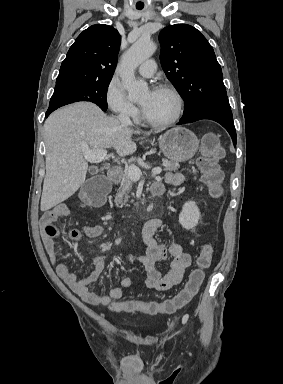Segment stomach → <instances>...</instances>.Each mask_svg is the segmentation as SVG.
Here are the masks:
<instances>
[{
  "instance_id": "0dacf381",
  "label": "stomach",
  "mask_w": 283,
  "mask_h": 384,
  "mask_svg": "<svg viewBox=\"0 0 283 384\" xmlns=\"http://www.w3.org/2000/svg\"><path fill=\"white\" fill-rule=\"evenodd\" d=\"M199 140L186 128H172L162 136L159 148L171 162H186L195 156Z\"/></svg>"
}]
</instances>
